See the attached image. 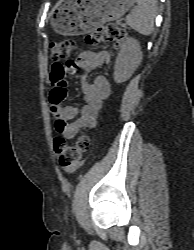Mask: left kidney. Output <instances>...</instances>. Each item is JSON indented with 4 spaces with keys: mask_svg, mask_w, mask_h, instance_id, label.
Instances as JSON below:
<instances>
[{
    "mask_svg": "<svg viewBox=\"0 0 194 250\" xmlns=\"http://www.w3.org/2000/svg\"><path fill=\"white\" fill-rule=\"evenodd\" d=\"M142 58L143 53L139 42L132 37L126 38L116 57L114 80L117 83L128 80L139 67Z\"/></svg>",
    "mask_w": 194,
    "mask_h": 250,
    "instance_id": "obj_1",
    "label": "left kidney"
}]
</instances>
